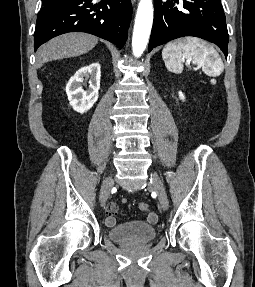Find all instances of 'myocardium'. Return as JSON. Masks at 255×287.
<instances>
[{
  "label": "myocardium",
  "mask_w": 255,
  "mask_h": 287,
  "mask_svg": "<svg viewBox=\"0 0 255 287\" xmlns=\"http://www.w3.org/2000/svg\"><path fill=\"white\" fill-rule=\"evenodd\" d=\"M150 39H154V38H150ZM144 48H154V47H144ZM157 48H164V47H157Z\"/></svg>",
  "instance_id": "myocardium-1"
}]
</instances>
